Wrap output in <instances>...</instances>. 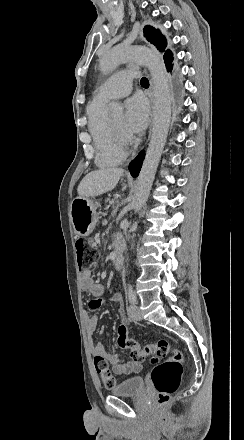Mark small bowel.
Masks as SVG:
<instances>
[{
  "instance_id": "c3829d8e",
  "label": "small bowel",
  "mask_w": 244,
  "mask_h": 440,
  "mask_svg": "<svg viewBox=\"0 0 244 440\" xmlns=\"http://www.w3.org/2000/svg\"><path fill=\"white\" fill-rule=\"evenodd\" d=\"M81 287L88 292L94 299L90 301L89 306L93 309L98 308L103 302L104 288L102 284L94 281L92 271L90 269L84 270L80 274ZM110 300L122 305L123 298L118 292H115ZM126 323V329L130 331V326L128 320L124 314H122V321ZM98 326V317L96 315L87 316L86 318V329L88 335L91 337L96 331ZM104 329H100V333H103ZM89 348L91 353H106L107 362L111 365L112 370L118 375H131L142 371V363H133V360H125L123 357L117 355L113 351H107L104 344L101 342L94 343L90 341Z\"/></svg>"
}]
</instances>
